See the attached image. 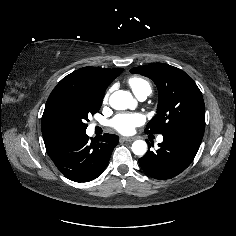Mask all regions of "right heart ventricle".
<instances>
[{"label": "right heart ventricle", "instance_id": "obj_1", "mask_svg": "<svg viewBox=\"0 0 236 236\" xmlns=\"http://www.w3.org/2000/svg\"><path fill=\"white\" fill-rule=\"evenodd\" d=\"M128 85L133 93L138 97L141 95L148 96L151 93L150 83L142 77H131L128 79Z\"/></svg>", "mask_w": 236, "mask_h": 236}]
</instances>
